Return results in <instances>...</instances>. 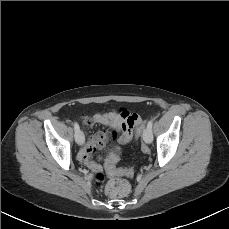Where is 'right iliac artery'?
<instances>
[{"label": "right iliac artery", "mask_w": 229, "mask_h": 229, "mask_svg": "<svg viewBox=\"0 0 229 229\" xmlns=\"http://www.w3.org/2000/svg\"><path fill=\"white\" fill-rule=\"evenodd\" d=\"M73 126H74V130L76 133L80 131V127H79L78 123L74 122Z\"/></svg>", "instance_id": "obj_1"}]
</instances>
